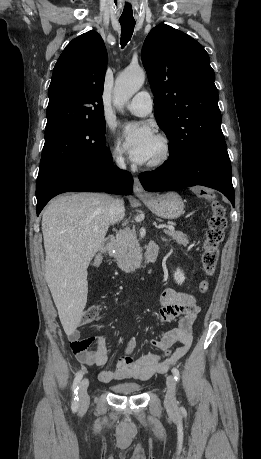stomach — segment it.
<instances>
[{"label": "stomach", "mask_w": 261, "mask_h": 459, "mask_svg": "<svg viewBox=\"0 0 261 459\" xmlns=\"http://www.w3.org/2000/svg\"><path fill=\"white\" fill-rule=\"evenodd\" d=\"M142 201L154 214L165 219H176L184 212L183 200L176 192L149 195Z\"/></svg>", "instance_id": "1"}]
</instances>
